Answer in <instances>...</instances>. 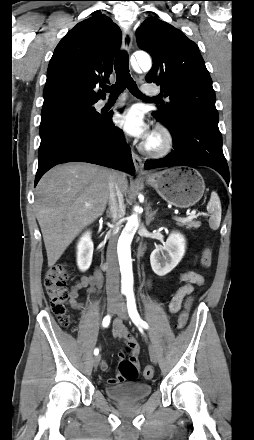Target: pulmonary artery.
I'll use <instances>...</instances> for the list:
<instances>
[{
	"label": "pulmonary artery",
	"mask_w": 254,
	"mask_h": 440,
	"mask_svg": "<svg viewBox=\"0 0 254 440\" xmlns=\"http://www.w3.org/2000/svg\"><path fill=\"white\" fill-rule=\"evenodd\" d=\"M159 92V88L157 87V86H148V85H143L142 87H141V93L144 95V96H151V95H155V94H157ZM108 105V103L106 102V101H101L100 103H99V106L102 108V107H105V106H107Z\"/></svg>",
	"instance_id": "obj_1"
}]
</instances>
